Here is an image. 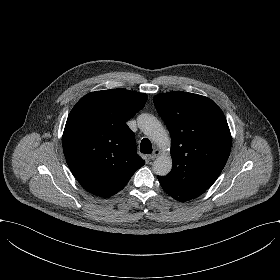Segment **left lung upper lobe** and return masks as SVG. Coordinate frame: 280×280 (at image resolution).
<instances>
[{"instance_id":"obj_1","label":"left lung upper lobe","mask_w":280,"mask_h":280,"mask_svg":"<svg viewBox=\"0 0 280 280\" xmlns=\"http://www.w3.org/2000/svg\"><path fill=\"white\" fill-rule=\"evenodd\" d=\"M154 104L171 134V172L158 177L170 196L193 199L218 178L231 150V134L218 105L187 92L158 94Z\"/></svg>"}]
</instances>
